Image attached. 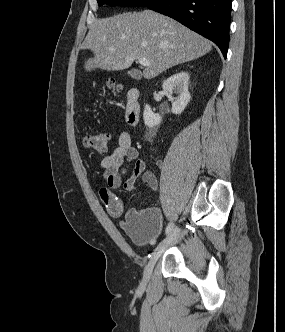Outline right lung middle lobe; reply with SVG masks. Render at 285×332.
Wrapping results in <instances>:
<instances>
[{
	"label": "right lung middle lobe",
	"instance_id": "obj_1",
	"mask_svg": "<svg viewBox=\"0 0 285 332\" xmlns=\"http://www.w3.org/2000/svg\"><path fill=\"white\" fill-rule=\"evenodd\" d=\"M152 0H97L99 6L109 4L111 6H146Z\"/></svg>",
	"mask_w": 285,
	"mask_h": 332
}]
</instances>
